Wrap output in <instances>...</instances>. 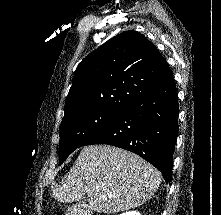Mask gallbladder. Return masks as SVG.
I'll return each instance as SVG.
<instances>
[{"mask_svg": "<svg viewBox=\"0 0 221 215\" xmlns=\"http://www.w3.org/2000/svg\"><path fill=\"white\" fill-rule=\"evenodd\" d=\"M86 201H87L86 198H82V199H81V203H84V202H86Z\"/></svg>", "mask_w": 221, "mask_h": 215, "instance_id": "1", "label": "gallbladder"}]
</instances>
